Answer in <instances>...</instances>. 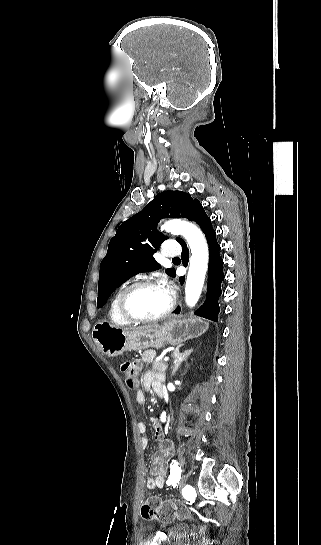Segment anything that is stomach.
<instances>
[{"label":"stomach","instance_id":"obj_1","mask_svg":"<svg viewBox=\"0 0 321 545\" xmlns=\"http://www.w3.org/2000/svg\"><path fill=\"white\" fill-rule=\"evenodd\" d=\"M208 329L207 321L203 319H169L161 327L142 329V331H128L118 329L106 321L96 323L93 327L92 337L95 345L99 347L103 355L116 357L124 351H141V349H161L168 345H181L188 339H196Z\"/></svg>","mask_w":321,"mask_h":545}]
</instances>
